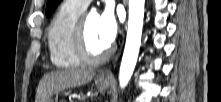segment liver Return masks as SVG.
<instances>
[{"label":"liver","instance_id":"liver-1","mask_svg":"<svg viewBox=\"0 0 221 102\" xmlns=\"http://www.w3.org/2000/svg\"><path fill=\"white\" fill-rule=\"evenodd\" d=\"M95 72L83 69H65L47 73L39 82L35 102L49 100L55 93L90 82Z\"/></svg>","mask_w":221,"mask_h":102}]
</instances>
